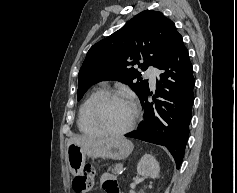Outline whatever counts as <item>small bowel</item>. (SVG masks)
Here are the masks:
<instances>
[{
  "instance_id": "obj_1",
  "label": "small bowel",
  "mask_w": 237,
  "mask_h": 193,
  "mask_svg": "<svg viewBox=\"0 0 237 193\" xmlns=\"http://www.w3.org/2000/svg\"><path fill=\"white\" fill-rule=\"evenodd\" d=\"M101 185L106 193H119L115 177L110 173L102 174Z\"/></svg>"
}]
</instances>
